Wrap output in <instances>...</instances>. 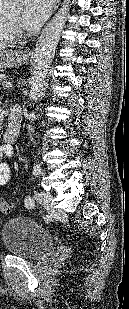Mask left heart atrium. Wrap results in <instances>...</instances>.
Here are the masks:
<instances>
[{"label":"left heart atrium","mask_w":129,"mask_h":309,"mask_svg":"<svg viewBox=\"0 0 129 309\" xmlns=\"http://www.w3.org/2000/svg\"><path fill=\"white\" fill-rule=\"evenodd\" d=\"M52 0H25L21 22L26 30H36L50 13Z\"/></svg>","instance_id":"obj_1"}]
</instances>
